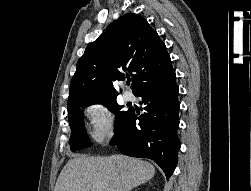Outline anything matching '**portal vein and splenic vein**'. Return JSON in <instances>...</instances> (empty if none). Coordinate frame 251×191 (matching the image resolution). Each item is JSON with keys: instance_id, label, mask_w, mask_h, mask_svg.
<instances>
[{"instance_id": "18ae733b", "label": "portal vein and splenic vein", "mask_w": 251, "mask_h": 191, "mask_svg": "<svg viewBox=\"0 0 251 191\" xmlns=\"http://www.w3.org/2000/svg\"><path fill=\"white\" fill-rule=\"evenodd\" d=\"M95 189H96V191H103V189H101V187H98V185H97V187H95Z\"/></svg>"}]
</instances>
